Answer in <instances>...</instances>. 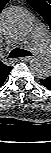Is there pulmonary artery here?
Masks as SVG:
<instances>
[{"label":"pulmonary artery","instance_id":"pulmonary-artery-1","mask_svg":"<svg viewBox=\"0 0 51 153\" xmlns=\"http://www.w3.org/2000/svg\"><path fill=\"white\" fill-rule=\"evenodd\" d=\"M32 38L39 53L47 55L50 52L51 43L44 29L36 27L32 32Z\"/></svg>","mask_w":51,"mask_h":153}]
</instances>
